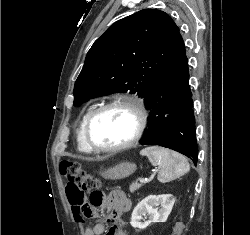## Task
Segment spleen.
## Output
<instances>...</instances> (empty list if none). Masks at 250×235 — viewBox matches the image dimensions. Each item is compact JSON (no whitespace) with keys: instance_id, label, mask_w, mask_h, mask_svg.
Listing matches in <instances>:
<instances>
[{"instance_id":"3e777b00","label":"spleen","mask_w":250,"mask_h":235,"mask_svg":"<svg viewBox=\"0 0 250 235\" xmlns=\"http://www.w3.org/2000/svg\"><path fill=\"white\" fill-rule=\"evenodd\" d=\"M140 154L147 156L153 166L159 167L158 180L161 183L179 178L190 170V165L183 155L163 147H147L141 150Z\"/></svg>"}]
</instances>
